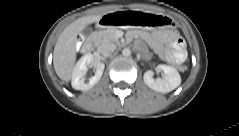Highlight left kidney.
<instances>
[{
  "label": "left kidney",
  "instance_id": "5707ae66",
  "mask_svg": "<svg viewBox=\"0 0 239 136\" xmlns=\"http://www.w3.org/2000/svg\"><path fill=\"white\" fill-rule=\"evenodd\" d=\"M157 70L164 73L163 78L154 79L153 72L150 70L146 71L143 76L145 84L152 90L168 93L181 84V77L174 67L160 64L157 66Z\"/></svg>",
  "mask_w": 239,
  "mask_h": 136
}]
</instances>
